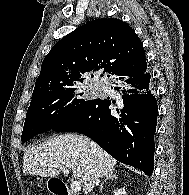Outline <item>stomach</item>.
<instances>
[{"label":"stomach","instance_id":"0dacf381","mask_svg":"<svg viewBox=\"0 0 189 195\" xmlns=\"http://www.w3.org/2000/svg\"><path fill=\"white\" fill-rule=\"evenodd\" d=\"M49 183H50V180L47 181V188H50Z\"/></svg>","mask_w":189,"mask_h":195}]
</instances>
